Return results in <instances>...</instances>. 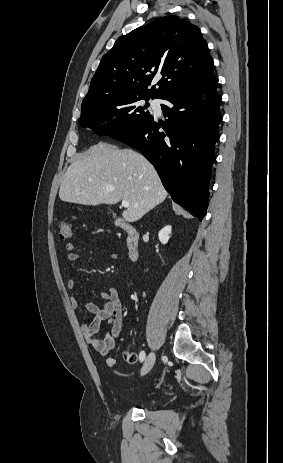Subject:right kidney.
<instances>
[{"label":"right kidney","instance_id":"right-kidney-1","mask_svg":"<svg viewBox=\"0 0 283 463\" xmlns=\"http://www.w3.org/2000/svg\"><path fill=\"white\" fill-rule=\"evenodd\" d=\"M172 228L170 225L162 228L158 233V238L162 244H166L170 238Z\"/></svg>","mask_w":283,"mask_h":463}]
</instances>
